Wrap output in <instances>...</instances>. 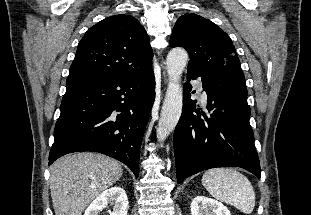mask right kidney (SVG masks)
<instances>
[{"label": "right kidney", "mask_w": 311, "mask_h": 215, "mask_svg": "<svg viewBox=\"0 0 311 215\" xmlns=\"http://www.w3.org/2000/svg\"><path fill=\"white\" fill-rule=\"evenodd\" d=\"M114 205L110 215H127L128 198L125 190L119 186L103 191L86 209L84 215H99L108 205Z\"/></svg>", "instance_id": "right-kidney-1"}]
</instances>
